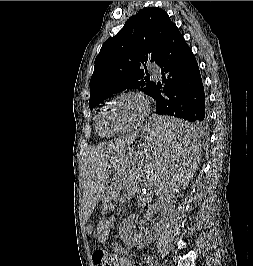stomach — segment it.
I'll use <instances>...</instances> for the list:
<instances>
[{
	"instance_id": "0dacf381",
	"label": "stomach",
	"mask_w": 253,
	"mask_h": 266,
	"mask_svg": "<svg viewBox=\"0 0 253 266\" xmlns=\"http://www.w3.org/2000/svg\"><path fill=\"white\" fill-rule=\"evenodd\" d=\"M154 138H161V136H151L150 134L136 136L120 153L112 158L105 169L104 177L110 194L117 197L119 194V186L125 185L124 177L131 176L133 169L130 168V161L143 160L139 156L140 150H147L148 145H153Z\"/></svg>"
}]
</instances>
